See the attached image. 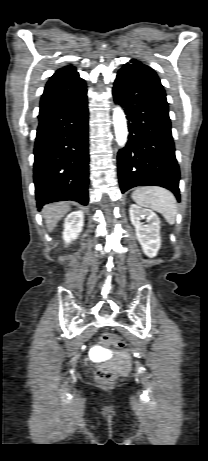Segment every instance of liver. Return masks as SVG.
Returning <instances> with one entry per match:
<instances>
[{"instance_id":"obj_1","label":"liver","mask_w":208,"mask_h":461,"mask_svg":"<svg viewBox=\"0 0 208 461\" xmlns=\"http://www.w3.org/2000/svg\"><path fill=\"white\" fill-rule=\"evenodd\" d=\"M70 210L67 202H59L45 206L42 210L43 217L49 232H51L60 221V219Z\"/></svg>"}]
</instances>
